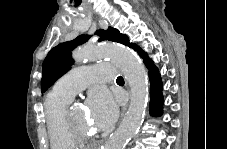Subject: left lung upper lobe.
Returning <instances> with one entry per match:
<instances>
[{"instance_id":"5c2ea615","label":"left lung upper lobe","mask_w":227,"mask_h":149,"mask_svg":"<svg viewBox=\"0 0 227 149\" xmlns=\"http://www.w3.org/2000/svg\"><path fill=\"white\" fill-rule=\"evenodd\" d=\"M96 35L100 36L99 41H114L127 45L129 39L117 29L109 27L106 31L97 30ZM91 36L80 35L72 41L62 43L54 47L47 55L42 66L41 89L46 91L54 82L64 75L73 64L71 50L87 42Z\"/></svg>"}]
</instances>
